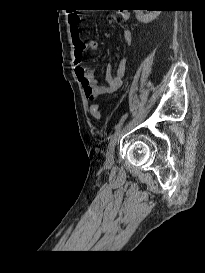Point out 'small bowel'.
Segmentation results:
<instances>
[{
	"mask_svg": "<svg viewBox=\"0 0 205 273\" xmlns=\"http://www.w3.org/2000/svg\"><path fill=\"white\" fill-rule=\"evenodd\" d=\"M128 17L129 15L126 12L121 14L122 19H128ZM68 22L70 25L72 43L74 47L73 59L76 66L75 74L83 87L86 97L90 100H94L99 96L116 91L122 85V79L126 70V60H121L119 62L115 74H112L110 66H107L105 71L106 84H98L94 79L93 68L83 67L82 59L86 49L96 51L99 48V44L96 40H88L87 42H83L80 37L78 27L80 22V16L78 14H70L68 17ZM122 38L125 44L130 45L132 42V32L129 29H125L122 33Z\"/></svg>",
	"mask_w": 205,
	"mask_h": 273,
	"instance_id": "small-bowel-1",
	"label": "small bowel"
}]
</instances>
